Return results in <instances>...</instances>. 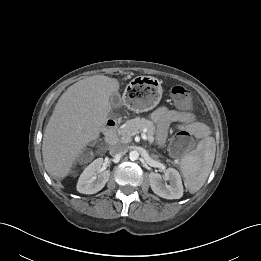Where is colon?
<instances>
[{
	"instance_id": "1",
	"label": "colon",
	"mask_w": 261,
	"mask_h": 261,
	"mask_svg": "<svg viewBox=\"0 0 261 261\" xmlns=\"http://www.w3.org/2000/svg\"><path fill=\"white\" fill-rule=\"evenodd\" d=\"M171 95L175 103L183 108H190L193 105V95L189 89L183 86H174L171 89ZM194 144L191 132L189 130H182L178 132L173 138L170 149L175 155H182L188 151ZM85 158L88 155L84 156Z\"/></svg>"
}]
</instances>
